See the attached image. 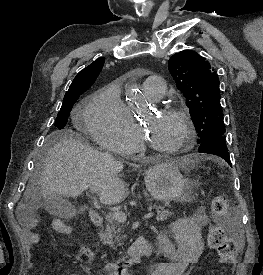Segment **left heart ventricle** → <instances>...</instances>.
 I'll use <instances>...</instances> for the list:
<instances>
[{"label":"left heart ventricle","mask_w":263,"mask_h":275,"mask_svg":"<svg viewBox=\"0 0 263 275\" xmlns=\"http://www.w3.org/2000/svg\"><path fill=\"white\" fill-rule=\"evenodd\" d=\"M144 129L154 144L164 148L177 146L185 136V127L181 120L158 112L145 117Z\"/></svg>","instance_id":"obj_1"}]
</instances>
